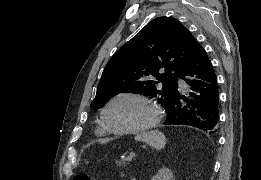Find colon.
Segmentation results:
<instances>
[{
	"instance_id": "5ec220e1",
	"label": "colon",
	"mask_w": 261,
	"mask_h": 180,
	"mask_svg": "<svg viewBox=\"0 0 261 180\" xmlns=\"http://www.w3.org/2000/svg\"><path fill=\"white\" fill-rule=\"evenodd\" d=\"M75 180H88V174L86 173H77L74 177Z\"/></svg>"
}]
</instances>
